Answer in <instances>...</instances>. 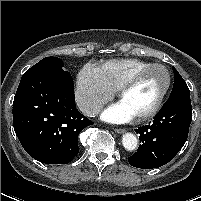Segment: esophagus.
I'll list each match as a JSON object with an SVG mask.
<instances>
[{"mask_svg":"<svg viewBox=\"0 0 201 201\" xmlns=\"http://www.w3.org/2000/svg\"><path fill=\"white\" fill-rule=\"evenodd\" d=\"M114 131H115L116 133L121 134V133L126 132V129H123V128H115Z\"/></svg>","mask_w":201,"mask_h":201,"instance_id":"1","label":"esophagus"}]
</instances>
